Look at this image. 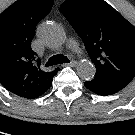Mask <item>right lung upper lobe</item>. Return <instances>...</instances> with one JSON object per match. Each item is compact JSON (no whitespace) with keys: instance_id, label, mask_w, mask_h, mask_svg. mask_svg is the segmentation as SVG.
<instances>
[{"instance_id":"obj_1","label":"right lung upper lobe","mask_w":135,"mask_h":135,"mask_svg":"<svg viewBox=\"0 0 135 135\" xmlns=\"http://www.w3.org/2000/svg\"><path fill=\"white\" fill-rule=\"evenodd\" d=\"M52 6L53 0H17L0 14V83L20 97L44 93L60 70H41L30 47L37 23Z\"/></svg>"}]
</instances>
